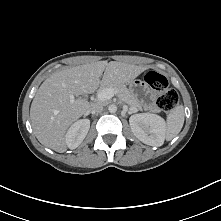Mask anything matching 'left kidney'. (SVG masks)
<instances>
[{
  "mask_svg": "<svg viewBox=\"0 0 221 221\" xmlns=\"http://www.w3.org/2000/svg\"><path fill=\"white\" fill-rule=\"evenodd\" d=\"M131 130L136 138L150 146H162L165 140L166 124L156 114H134L129 118Z\"/></svg>",
  "mask_w": 221,
  "mask_h": 221,
  "instance_id": "left-kidney-1",
  "label": "left kidney"
}]
</instances>
